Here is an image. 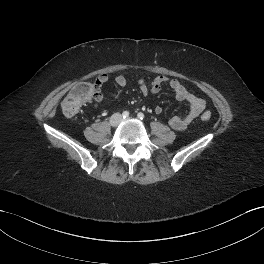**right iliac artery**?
Returning a JSON list of instances; mask_svg holds the SVG:
<instances>
[{
	"label": "right iliac artery",
	"mask_w": 264,
	"mask_h": 264,
	"mask_svg": "<svg viewBox=\"0 0 264 264\" xmlns=\"http://www.w3.org/2000/svg\"><path fill=\"white\" fill-rule=\"evenodd\" d=\"M122 117H123V118H128V117H129V112H128V111H124V112L122 113Z\"/></svg>",
	"instance_id": "obj_1"
}]
</instances>
